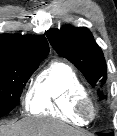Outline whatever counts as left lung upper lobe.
Here are the masks:
<instances>
[{"label": "left lung upper lobe", "instance_id": "obj_1", "mask_svg": "<svg viewBox=\"0 0 117 136\" xmlns=\"http://www.w3.org/2000/svg\"><path fill=\"white\" fill-rule=\"evenodd\" d=\"M46 35L56 52L70 60L92 86L106 81L103 52L87 28L66 25L60 30L50 29Z\"/></svg>", "mask_w": 117, "mask_h": 136}]
</instances>
